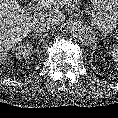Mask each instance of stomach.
<instances>
[{
    "label": "stomach",
    "instance_id": "1",
    "mask_svg": "<svg viewBox=\"0 0 118 118\" xmlns=\"http://www.w3.org/2000/svg\"><path fill=\"white\" fill-rule=\"evenodd\" d=\"M91 24L107 35L118 25V0H94Z\"/></svg>",
    "mask_w": 118,
    "mask_h": 118
}]
</instances>
